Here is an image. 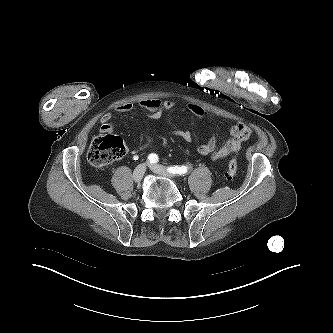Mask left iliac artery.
<instances>
[{
	"instance_id": "1",
	"label": "left iliac artery",
	"mask_w": 333,
	"mask_h": 333,
	"mask_svg": "<svg viewBox=\"0 0 333 333\" xmlns=\"http://www.w3.org/2000/svg\"><path fill=\"white\" fill-rule=\"evenodd\" d=\"M188 167L186 166H175V167H169L168 168V172L172 173V174H186L188 172Z\"/></svg>"
}]
</instances>
